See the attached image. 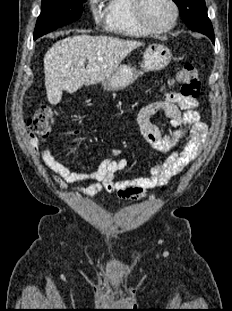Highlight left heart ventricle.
I'll use <instances>...</instances> for the list:
<instances>
[{"label":"left heart ventricle","instance_id":"1","mask_svg":"<svg viewBox=\"0 0 232 311\" xmlns=\"http://www.w3.org/2000/svg\"><path fill=\"white\" fill-rule=\"evenodd\" d=\"M144 15L154 27H165L173 18V9L168 0H145Z\"/></svg>","mask_w":232,"mask_h":311}]
</instances>
